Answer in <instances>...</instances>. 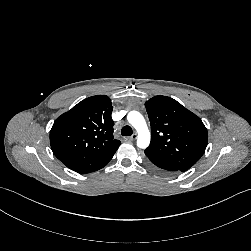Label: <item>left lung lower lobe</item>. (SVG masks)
I'll use <instances>...</instances> for the list:
<instances>
[{
  "label": "left lung lower lobe",
  "mask_w": 251,
  "mask_h": 251,
  "mask_svg": "<svg viewBox=\"0 0 251 251\" xmlns=\"http://www.w3.org/2000/svg\"><path fill=\"white\" fill-rule=\"evenodd\" d=\"M148 164L152 169H154L158 172L164 173V174H170V173H174V172L179 171L176 168L165 165V164H160V163L155 164V163H151L150 161L148 162Z\"/></svg>",
  "instance_id": "left-lung-lower-lobe-1"
}]
</instances>
